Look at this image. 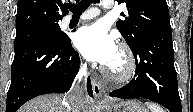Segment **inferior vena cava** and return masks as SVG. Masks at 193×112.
<instances>
[{
    "instance_id": "inferior-vena-cava-1",
    "label": "inferior vena cava",
    "mask_w": 193,
    "mask_h": 112,
    "mask_svg": "<svg viewBox=\"0 0 193 112\" xmlns=\"http://www.w3.org/2000/svg\"><path fill=\"white\" fill-rule=\"evenodd\" d=\"M87 75V66L84 64L81 67L67 96L68 101L66 103L69 105L71 112H85L84 107L85 99L87 98Z\"/></svg>"
}]
</instances>
